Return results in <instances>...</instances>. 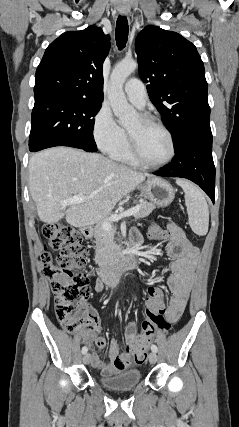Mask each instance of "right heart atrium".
<instances>
[{
  "label": "right heart atrium",
  "mask_w": 239,
  "mask_h": 427,
  "mask_svg": "<svg viewBox=\"0 0 239 427\" xmlns=\"http://www.w3.org/2000/svg\"><path fill=\"white\" fill-rule=\"evenodd\" d=\"M93 138L98 148L108 155L117 151L126 140L125 131L106 106L101 107L94 117Z\"/></svg>",
  "instance_id": "1"
}]
</instances>
